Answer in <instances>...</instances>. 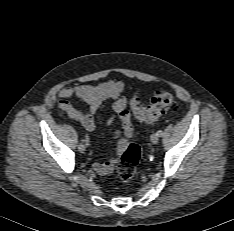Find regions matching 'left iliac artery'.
I'll return each instance as SVG.
<instances>
[{
  "instance_id": "1",
  "label": "left iliac artery",
  "mask_w": 234,
  "mask_h": 231,
  "mask_svg": "<svg viewBox=\"0 0 234 231\" xmlns=\"http://www.w3.org/2000/svg\"><path fill=\"white\" fill-rule=\"evenodd\" d=\"M157 135H158L159 137H161V136L163 135V132H162L161 130H159V131L157 132Z\"/></svg>"
}]
</instances>
